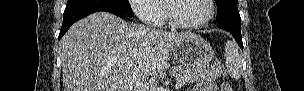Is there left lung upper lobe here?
I'll use <instances>...</instances> for the list:
<instances>
[{"instance_id": "obj_1", "label": "left lung upper lobe", "mask_w": 304, "mask_h": 91, "mask_svg": "<svg viewBox=\"0 0 304 91\" xmlns=\"http://www.w3.org/2000/svg\"><path fill=\"white\" fill-rule=\"evenodd\" d=\"M215 2L217 5V22L234 15H239L237 8L238 0H215Z\"/></svg>"}]
</instances>
